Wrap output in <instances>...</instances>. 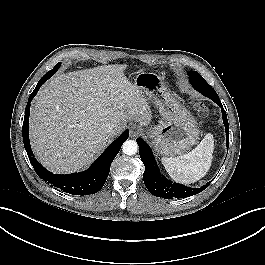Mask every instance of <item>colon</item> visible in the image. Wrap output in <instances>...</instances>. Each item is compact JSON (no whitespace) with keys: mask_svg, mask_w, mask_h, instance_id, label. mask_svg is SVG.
I'll return each instance as SVG.
<instances>
[{"mask_svg":"<svg viewBox=\"0 0 265 265\" xmlns=\"http://www.w3.org/2000/svg\"><path fill=\"white\" fill-rule=\"evenodd\" d=\"M194 110H195L197 116L201 119L207 117V115H208L207 106L201 102H197L194 104Z\"/></svg>","mask_w":265,"mask_h":265,"instance_id":"1","label":"colon"}]
</instances>
